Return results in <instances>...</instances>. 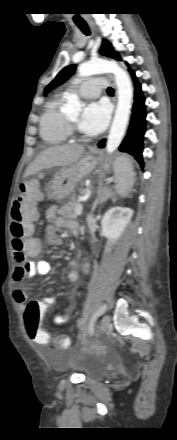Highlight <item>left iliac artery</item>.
Instances as JSON below:
<instances>
[{
	"mask_svg": "<svg viewBox=\"0 0 177 440\" xmlns=\"http://www.w3.org/2000/svg\"><path fill=\"white\" fill-rule=\"evenodd\" d=\"M105 310H106V305H103V306L100 307V309H98V310L93 314V316L91 317L90 322H89V325H88V330H89L90 335H93V333H94V324H95V321L97 320V318H98L100 315H102V314L105 312Z\"/></svg>",
	"mask_w": 177,
	"mask_h": 440,
	"instance_id": "obj_1",
	"label": "left iliac artery"
}]
</instances>
